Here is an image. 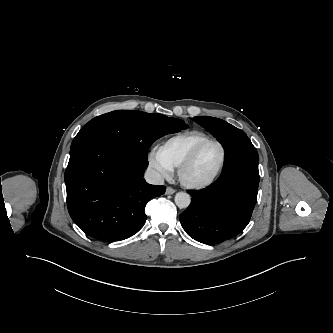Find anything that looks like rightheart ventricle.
<instances>
[{
    "label": "right heart ventricle",
    "instance_id": "1",
    "mask_svg": "<svg viewBox=\"0 0 333 333\" xmlns=\"http://www.w3.org/2000/svg\"><path fill=\"white\" fill-rule=\"evenodd\" d=\"M209 138L207 134L198 130L179 133L165 140L159 147L162 156L173 166L178 168L191 150L201 141Z\"/></svg>",
    "mask_w": 333,
    "mask_h": 333
}]
</instances>
